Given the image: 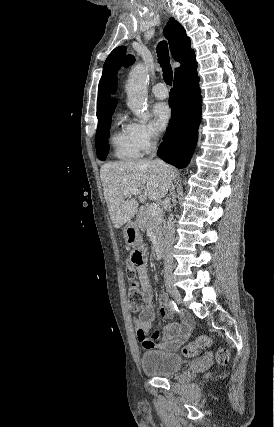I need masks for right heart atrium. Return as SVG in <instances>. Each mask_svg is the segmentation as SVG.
<instances>
[{
  "mask_svg": "<svg viewBox=\"0 0 274 427\" xmlns=\"http://www.w3.org/2000/svg\"><path fill=\"white\" fill-rule=\"evenodd\" d=\"M133 139L142 152H149L155 147L158 136L154 129L144 123H133L131 124Z\"/></svg>",
  "mask_w": 274,
  "mask_h": 427,
  "instance_id": "1",
  "label": "right heart atrium"
}]
</instances>
